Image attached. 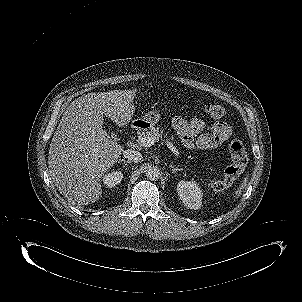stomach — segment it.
Listing matches in <instances>:
<instances>
[{
    "label": "stomach",
    "mask_w": 302,
    "mask_h": 302,
    "mask_svg": "<svg viewBox=\"0 0 302 302\" xmlns=\"http://www.w3.org/2000/svg\"><path fill=\"white\" fill-rule=\"evenodd\" d=\"M160 118H161V116L158 111L151 110V111L147 112L143 116V118L138 119L136 121H137V125L140 127L151 128L159 122Z\"/></svg>",
    "instance_id": "obj_1"
}]
</instances>
